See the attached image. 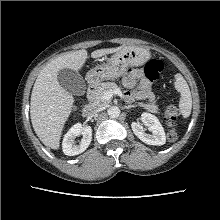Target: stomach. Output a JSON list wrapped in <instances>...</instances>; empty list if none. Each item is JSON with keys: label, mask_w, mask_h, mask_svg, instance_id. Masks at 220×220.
Here are the masks:
<instances>
[{"label": "stomach", "mask_w": 220, "mask_h": 220, "mask_svg": "<svg viewBox=\"0 0 220 220\" xmlns=\"http://www.w3.org/2000/svg\"><path fill=\"white\" fill-rule=\"evenodd\" d=\"M149 58L148 50L137 46H125L112 55L107 63L91 69L86 79L91 86L97 87L102 81L118 79L124 75L128 67L142 66Z\"/></svg>", "instance_id": "stomach-1"}]
</instances>
